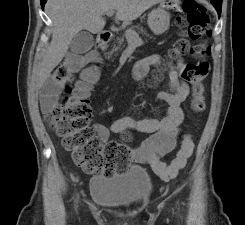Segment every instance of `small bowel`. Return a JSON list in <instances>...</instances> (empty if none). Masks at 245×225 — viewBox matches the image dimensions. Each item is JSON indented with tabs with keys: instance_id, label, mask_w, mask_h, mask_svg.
I'll return each instance as SVG.
<instances>
[{
	"instance_id": "small-bowel-1",
	"label": "small bowel",
	"mask_w": 245,
	"mask_h": 225,
	"mask_svg": "<svg viewBox=\"0 0 245 225\" xmlns=\"http://www.w3.org/2000/svg\"><path fill=\"white\" fill-rule=\"evenodd\" d=\"M162 58L158 54L146 56L138 60L132 70L131 78L141 81L147 75L150 67L159 65ZM186 64L178 60L168 70L169 89L157 92V99L167 104L162 118H115L109 126L100 123L94 124L93 128L100 141L108 140L110 133L136 132L147 134L138 146L130 151V160L137 164L149 165L154 169L156 161H160L163 155L170 153L176 146V139L181 134V126L184 122L182 104L189 94V85L183 77ZM91 77L83 82L87 89H92L99 76L98 66L93 65L88 69ZM44 117L49 121V111L53 104L51 98H42ZM187 135H184L185 137Z\"/></svg>"
}]
</instances>
